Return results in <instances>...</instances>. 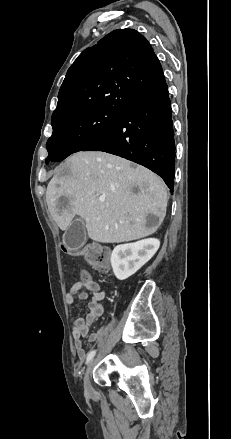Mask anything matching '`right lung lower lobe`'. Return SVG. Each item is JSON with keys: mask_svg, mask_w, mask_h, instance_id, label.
<instances>
[{"mask_svg": "<svg viewBox=\"0 0 231 439\" xmlns=\"http://www.w3.org/2000/svg\"><path fill=\"white\" fill-rule=\"evenodd\" d=\"M83 151H103L143 165L173 192L175 142L167 85L133 101L119 121Z\"/></svg>", "mask_w": 231, "mask_h": 439, "instance_id": "1", "label": "right lung lower lobe"}]
</instances>
